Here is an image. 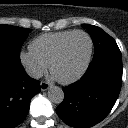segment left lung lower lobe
Returning a JSON list of instances; mask_svg holds the SVG:
<instances>
[{
	"label": "left lung lower lobe",
	"mask_w": 128,
	"mask_h": 128,
	"mask_svg": "<svg viewBox=\"0 0 128 128\" xmlns=\"http://www.w3.org/2000/svg\"><path fill=\"white\" fill-rule=\"evenodd\" d=\"M121 85L120 50L102 52L93 57L81 80L62 88L64 100L56 108V112L71 127H92L109 114Z\"/></svg>",
	"instance_id": "obj_1"
}]
</instances>
